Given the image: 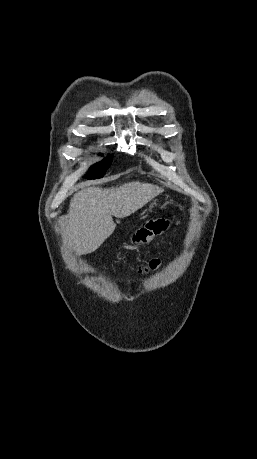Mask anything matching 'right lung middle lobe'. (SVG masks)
I'll return each instance as SVG.
<instances>
[{
	"mask_svg": "<svg viewBox=\"0 0 257 459\" xmlns=\"http://www.w3.org/2000/svg\"><path fill=\"white\" fill-rule=\"evenodd\" d=\"M112 162V156L108 157L107 159L93 165L87 175L85 176L86 179H97L103 177L106 170L110 166Z\"/></svg>",
	"mask_w": 257,
	"mask_h": 459,
	"instance_id": "1",
	"label": "right lung middle lobe"
}]
</instances>
